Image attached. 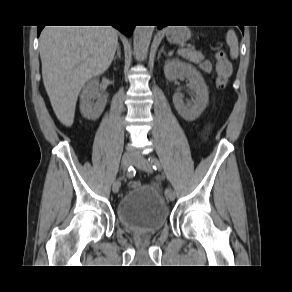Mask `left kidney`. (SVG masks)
Instances as JSON below:
<instances>
[{"mask_svg":"<svg viewBox=\"0 0 292 292\" xmlns=\"http://www.w3.org/2000/svg\"><path fill=\"white\" fill-rule=\"evenodd\" d=\"M167 80L173 81L180 76H185L189 81V88L194 93L195 99L191 103H184L183 95L176 93L173 96L174 106L179 115L186 121H194L206 108L209 101L208 87L195 67L179 59L167 60L164 66Z\"/></svg>","mask_w":292,"mask_h":292,"instance_id":"left-kidney-1","label":"left kidney"}]
</instances>
